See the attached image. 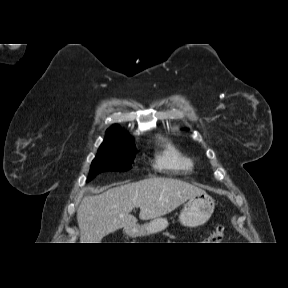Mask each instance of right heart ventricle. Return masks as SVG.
Segmentation results:
<instances>
[{
    "instance_id": "right-heart-ventricle-1",
    "label": "right heart ventricle",
    "mask_w": 288,
    "mask_h": 288,
    "mask_svg": "<svg viewBox=\"0 0 288 288\" xmlns=\"http://www.w3.org/2000/svg\"><path fill=\"white\" fill-rule=\"evenodd\" d=\"M157 165L163 169L172 171L186 172L193 169L192 160L181 154L171 144H166L165 149L157 158Z\"/></svg>"
}]
</instances>
